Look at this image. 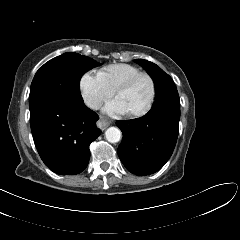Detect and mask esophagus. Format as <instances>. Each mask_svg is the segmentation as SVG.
Returning <instances> with one entry per match:
<instances>
[{"label": "esophagus", "mask_w": 240, "mask_h": 240, "mask_svg": "<svg viewBox=\"0 0 240 240\" xmlns=\"http://www.w3.org/2000/svg\"><path fill=\"white\" fill-rule=\"evenodd\" d=\"M110 125V121H108L107 119L105 118H100L98 121H97V126L101 129V130H105L108 126Z\"/></svg>", "instance_id": "obj_1"}]
</instances>
